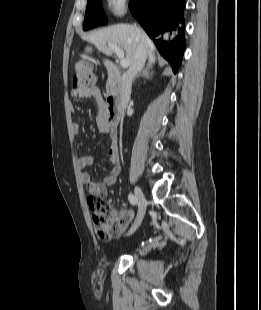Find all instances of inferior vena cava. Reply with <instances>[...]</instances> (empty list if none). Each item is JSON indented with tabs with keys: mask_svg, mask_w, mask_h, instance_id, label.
Listing matches in <instances>:
<instances>
[{
	"mask_svg": "<svg viewBox=\"0 0 261 310\" xmlns=\"http://www.w3.org/2000/svg\"><path fill=\"white\" fill-rule=\"evenodd\" d=\"M146 57H147L146 45L142 40L137 46V51L135 53L132 64L129 66L127 71L122 75L121 105L123 108H126L128 106L131 96L132 81L135 79L137 73L143 69Z\"/></svg>",
	"mask_w": 261,
	"mask_h": 310,
	"instance_id": "1",
	"label": "inferior vena cava"
}]
</instances>
